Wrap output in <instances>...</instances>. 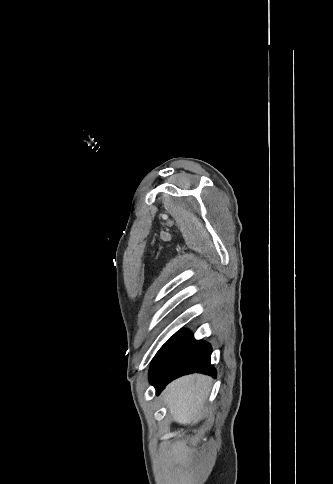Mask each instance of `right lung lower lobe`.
Returning <instances> with one entry per match:
<instances>
[{
  "label": "right lung lower lobe",
  "mask_w": 333,
  "mask_h": 484,
  "mask_svg": "<svg viewBox=\"0 0 333 484\" xmlns=\"http://www.w3.org/2000/svg\"><path fill=\"white\" fill-rule=\"evenodd\" d=\"M211 346L197 341L186 329L174 334L157 352L152 360L149 380L157 394L173 379L191 372H203L212 376L216 371L210 364Z\"/></svg>",
  "instance_id": "right-lung-lower-lobe-1"
}]
</instances>
